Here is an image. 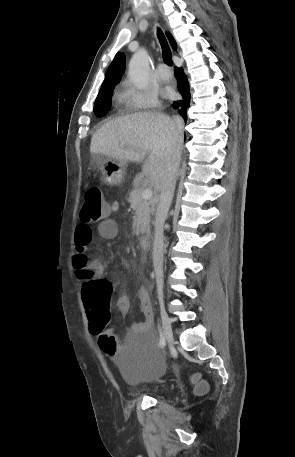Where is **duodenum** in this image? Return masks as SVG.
Here are the masks:
<instances>
[{"instance_id":"1","label":"duodenum","mask_w":295,"mask_h":457,"mask_svg":"<svg viewBox=\"0 0 295 457\" xmlns=\"http://www.w3.org/2000/svg\"><path fill=\"white\" fill-rule=\"evenodd\" d=\"M151 244V238L148 236H144L140 239V248L142 252L145 254L148 252Z\"/></svg>"}]
</instances>
